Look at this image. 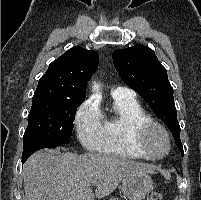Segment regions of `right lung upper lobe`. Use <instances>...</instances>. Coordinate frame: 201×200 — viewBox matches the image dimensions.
<instances>
[{
	"label": "right lung upper lobe",
	"mask_w": 201,
	"mask_h": 200,
	"mask_svg": "<svg viewBox=\"0 0 201 200\" xmlns=\"http://www.w3.org/2000/svg\"><path fill=\"white\" fill-rule=\"evenodd\" d=\"M96 51L73 47L53 61L34 94L65 99H85L87 82L97 70Z\"/></svg>",
	"instance_id": "obj_1"
}]
</instances>
